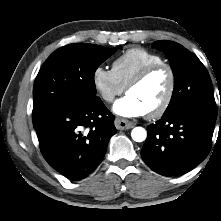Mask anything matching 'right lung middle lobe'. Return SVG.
<instances>
[{
    "mask_svg": "<svg viewBox=\"0 0 221 221\" xmlns=\"http://www.w3.org/2000/svg\"><path fill=\"white\" fill-rule=\"evenodd\" d=\"M116 50L117 48L75 43L53 52L34 83L33 125L60 105L87 104L98 99L95 71Z\"/></svg>",
    "mask_w": 221,
    "mask_h": 221,
    "instance_id": "right-lung-middle-lobe-1",
    "label": "right lung middle lobe"
}]
</instances>
